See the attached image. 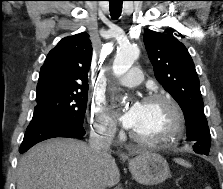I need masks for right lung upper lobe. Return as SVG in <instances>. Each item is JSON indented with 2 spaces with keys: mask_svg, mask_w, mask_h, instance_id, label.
Listing matches in <instances>:
<instances>
[{
  "mask_svg": "<svg viewBox=\"0 0 223 189\" xmlns=\"http://www.w3.org/2000/svg\"><path fill=\"white\" fill-rule=\"evenodd\" d=\"M91 58L88 33L63 38L49 52L40 69L37 92L88 88Z\"/></svg>",
  "mask_w": 223,
  "mask_h": 189,
  "instance_id": "obj_1",
  "label": "right lung upper lobe"
}]
</instances>
